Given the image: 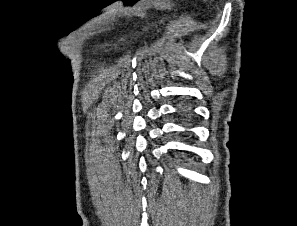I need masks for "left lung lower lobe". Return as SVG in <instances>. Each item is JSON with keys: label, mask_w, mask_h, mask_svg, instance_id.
I'll list each match as a JSON object with an SVG mask.
<instances>
[{"label": "left lung lower lobe", "mask_w": 297, "mask_h": 226, "mask_svg": "<svg viewBox=\"0 0 297 226\" xmlns=\"http://www.w3.org/2000/svg\"><path fill=\"white\" fill-rule=\"evenodd\" d=\"M180 112H181V114L184 115L185 117H188V116L191 115V112H190V110H189V107H187V106H183V107H181V108H180Z\"/></svg>", "instance_id": "1"}]
</instances>
